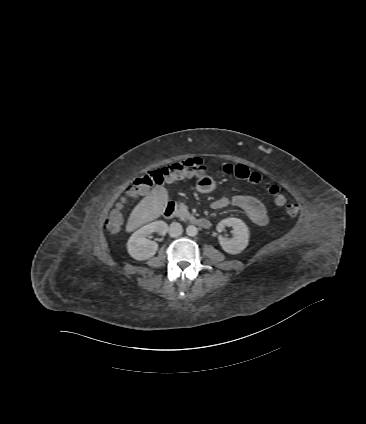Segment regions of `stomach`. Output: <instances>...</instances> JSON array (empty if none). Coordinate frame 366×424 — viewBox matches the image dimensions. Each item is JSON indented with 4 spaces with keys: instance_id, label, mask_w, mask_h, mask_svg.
I'll return each instance as SVG.
<instances>
[{
    "instance_id": "stomach-1",
    "label": "stomach",
    "mask_w": 366,
    "mask_h": 424,
    "mask_svg": "<svg viewBox=\"0 0 366 424\" xmlns=\"http://www.w3.org/2000/svg\"><path fill=\"white\" fill-rule=\"evenodd\" d=\"M195 187L198 192L206 194L214 191L217 188V183L211 176L202 175L196 181Z\"/></svg>"
}]
</instances>
